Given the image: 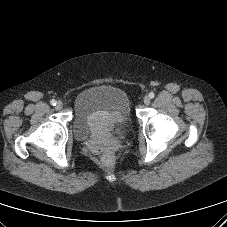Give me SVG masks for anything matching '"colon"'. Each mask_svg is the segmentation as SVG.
<instances>
[{"mask_svg": "<svg viewBox=\"0 0 227 227\" xmlns=\"http://www.w3.org/2000/svg\"><path fill=\"white\" fill-rule=\"evenodd\" d=\"M115 157L113 152L111 151H106L103 154L102 161L106 166H111L114 163Z\"/></svg>", "mask_w": 227, "mask_h": 227, "instance_id": "5ec220e1", "label": "colon"}]
</instances>
